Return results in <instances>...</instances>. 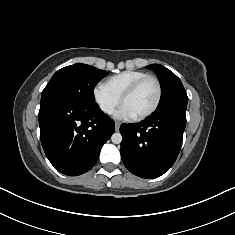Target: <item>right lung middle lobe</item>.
<instances>
[{
	"label": "right lung middle lobe",
	"mask_w": 235,
	"mask_h": 235,
	"mask_svg": "<svg viewBox=\"0 0 235 235\" xmlns=\"http://www.w3.org/2000/svg\"><path fill=\"white\" fill-rule=\"evenodd\" d=\"M104 70L76 63L58 70L50 79L41 95V103L64 100L74 104H96L94 87L107 76Z\"/></svg>",
	"instance_id": "obj_1"
}]
</instances>
